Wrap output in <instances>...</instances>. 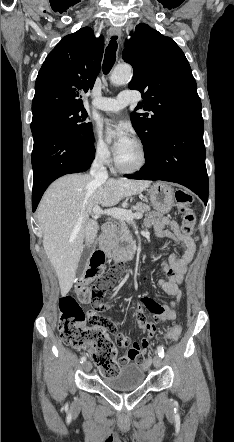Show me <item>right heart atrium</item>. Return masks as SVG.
<instances>
[{
  "label": "right heart atrium",
  "instance_id": "d8ad5b80",
  "mask_svg": "<svg viewBox=\"0 0 234 442\" xmlns=\"http://www.w3.org/2000/svg\"><path fill=\"white\" fill-rule=\"evenodd\" d=\"M93 156L101 164H109L112 159L111 151L105 141L98 135H95L92 142Z\"/></svg>",
  "mask_w": 234,
  "mask_h": 442
}]
</instances>
